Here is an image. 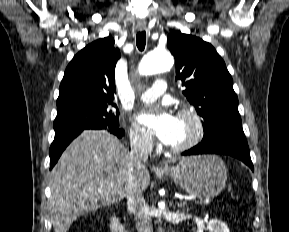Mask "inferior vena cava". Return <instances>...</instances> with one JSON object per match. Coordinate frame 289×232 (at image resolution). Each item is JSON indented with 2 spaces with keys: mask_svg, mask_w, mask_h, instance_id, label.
<instances>
[{
  "mask_svg": "<svg viewBox=\"0 0 289 232\" xmlns=\"http://www.w3.org/2000/svg\"><path fill=\"white\" fill-rule=\"evenodd\" d=\"M151 137L136 135L131 141V151L128 153L127 171V208L134 215L135 226L138 232H153V227L148 214V207L143 192L135 190L133 171L148 159L151 150Z\"/></svg>",
  "mask_w": 289,
  "mask_h": 232,
  "instance_id": "602c4592",
  "label": "inferior vena cava"
}]
</instances>
